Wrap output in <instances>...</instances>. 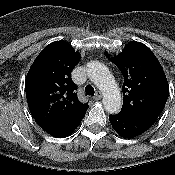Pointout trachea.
<instances>
[{"label":"trachea","instance_id":"3493384b","mask_svg":"<svg viewBox=\"0 0 175 175\" xmlns=\"http://www.w3.org/2000/svg\"><path fill=\"white\" fill-rule=\"evenodd\" d=\"M85 93H86V95L94 96L95 91H94L93 86H92V85H87V86L85 87Z\"/></svg>","mask_w":175,"mask_h":175}]
</instances>
